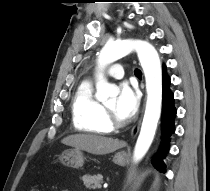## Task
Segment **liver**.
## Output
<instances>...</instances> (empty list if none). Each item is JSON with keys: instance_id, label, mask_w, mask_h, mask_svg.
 <instances>
[{"instance_id": "6515ba94", "label": "liver", "mask_w": 210, "mask_h": 191, "mask_svg": "<svg viewBox=\"0 0 210 191\" xmlns=\"http://www.w3.org/2000/svg\"><path fill=\"white\" fill-rule=\"evenodd\" d=\"M62 144L96 155L112 153L125 146V142L93 134H75L65 137Z\"/></svg>"}]
</instances>
